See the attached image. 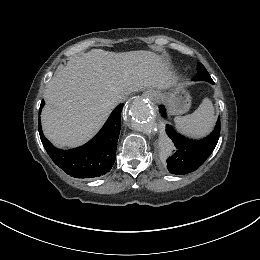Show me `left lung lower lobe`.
Instances as JSON below:
<instances>
[{"instance_id":"left-lung-lower-lobe-1","label":"left lung lower lobe","mask_w":260,"mask_h":260,"mask_svg":"<svg viewBox=\"0 0 260 260\" xmlns=\"http://www.w3.org/2000/svg\"><path fill=\"white\" fill-rule=\"evenodd\" d=\"M162 116L166 109L161 107ZM166 132L175 145V152L167 159V168L172 174H187L199 168L213 152L220 135V119L211 135L202 140L188 139L177 133L170 125Z\"/></svg>"}]
</instances>
